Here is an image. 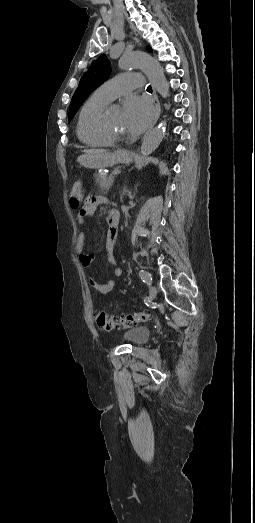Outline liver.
I'll return each instance as SVG.
<instances>
[{
  "label": "liver",
  "mask_w": 255,
  "mask_h": 523,
  "mask_svg": "<svg viewBox=\"0 0 255 523\" xmlns=\"http://www.w3.org/2000/svg\"><path fill=\"white\" fill-rule=\"evenodd\" d=\"M85 152L84 158L85 160H88L90 164H94L95 160L99 158V156H104V154H109V152H106V150H83Z\"/></svg>",
  "instance_id": "1"
}]
</instances>
